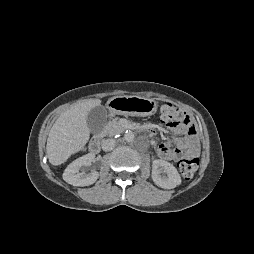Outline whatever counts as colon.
Here are the masks:
<instances>
[{"mask_svg": "<svg viewBox=\"0 0 254 254\" xmlns=\"http://www.w3.org/2000/svg\"><path fill=\"white\" fill-rule=\"evenodd\" d=\"M161 116L168 127H187L189 134L194 135L196 133V127L190 116L172 103L163 104ZM198 165L199 160L197 158H184L179 162V170L185 179H191L197 171Z\"/></svg>", "mask_w": 254, "mask_h": 254, "instance_id": "obj_1", "label": "colon"}]
</instances>
